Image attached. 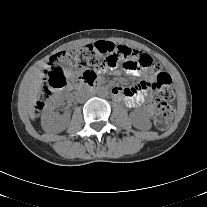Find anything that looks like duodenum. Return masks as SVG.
Returning <instances> with one entry per match:
<instances>
[{"mask_svg":"<svg viewBox=\"0 0 207 207\" xmlns=\"http://www.w3.org/2000/svg\"><path fill=\"white\" fill-rule=\"evenodd\" d=\"M83 87H89L90 90L94 91L99 88V85L95 82V77L88 75L84 76L83 79L74 86V89L78 90Z\"/></svg>","mask_w":207,"mask_h":207,"instance_id":"duodenum-1","label":"duodenum"}]
</instances>
